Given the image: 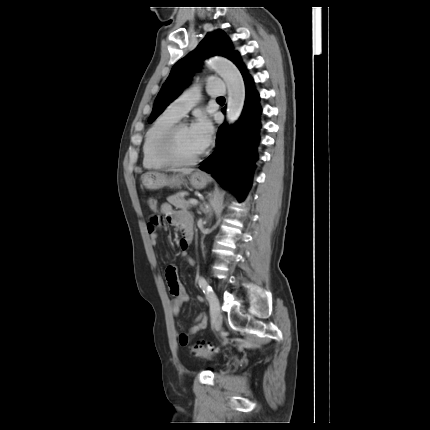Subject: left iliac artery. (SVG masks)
I'll return each instance as SVG.
<instances>
[{
  "label": "left iliac artery",
  "mask_w": 430,
  "mask_h": 430,
  "mask_svg": "<svg viewBox=\"0 0 430 430\" xmlns=\"http://www.w3.org/2000/svg\"><path fill=\"white\" fill-rule=\"evenodd\" d=\"M198 284L203 292L206 294V297L210 303V314L212 316V308H214L218 304V299L212 290L211 286L207 283L206 279L202 276L198 278Z\"/></svg>",
  "instance_id": "left-iliac-artery-1"
}]
</instances>
